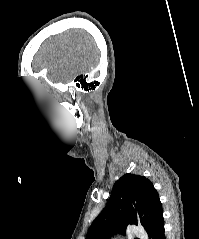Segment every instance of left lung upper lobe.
<instances>
[{"label": "left lung upper lobe", "instance_id": "5c2ea615", "mask_svg": "<svg viewBox=\"0 0 199 239\" xmlns=\"http://www.w3.org/2000/svg\"><path fill=\"white\" fill-rule=\"evenodd\" d=\"M162 204L152 182L144 176L127 173L113 186L108 203L90 226L86 239H108L125 233L129 224L146 230Z\"/></svg>", "mask_w": 199, "mask_h": 239}]
</instances>
